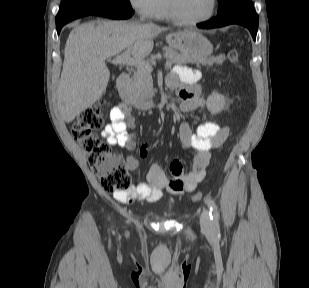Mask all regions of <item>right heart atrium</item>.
<instances>
[{
    "label": "right heart atrium",
    "instance_id": "1",
    "mask_svg": "<svg viewBox=\"0 0 309 288\" xmlns=\"http://www.w3.org/2000/svg\"><path fill=\"white\" fill-rule=\"evenodd\" d=\"M130 6L144 17H157L163 0H128Z\"/></svg>",
    "mask_w": 309,
    "mask_h": 288
}]
</instances>
